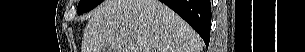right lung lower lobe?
Segmentation results:
<instances>
[{"instance_id":"obj_1","label":"right lung lower lobe","mask_w":305,"mask_h":52,"mask_svg":"<svg viewBox=\"0 0 305 52\" xmlns=\"http://www.w3.org/2000/svg\"><path fill=\"white\" fill-rule=\"evenodd\" d=\"M173 9L203 38L206 46L210 41V0H160Z\"/></svg>"}]
</instances>
